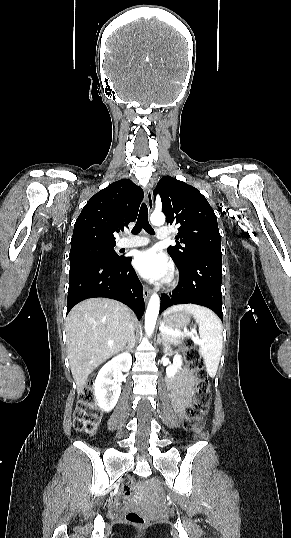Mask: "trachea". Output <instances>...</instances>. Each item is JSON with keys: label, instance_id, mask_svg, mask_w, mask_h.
<instances>
[{"label": "trachea", "instance_id": "obj_1", "mask_svg": "<svg viewBox=\"0 0 291 538\" xmlns=\"http://www.w3.org/2000/svg\"><path fill=\"white\" fill-rule=\"evenodd\" d=\"M142 228L147 233H149L151 235L154 234V230H153V228L151 227V225L149 224V221H148V207H147V205L145 203H143L141 205L137 222H136L134 228L132 229V234L139 233Z\"/></svg>", "mask_w": 291, "mask_h": 538}]
</instances>
